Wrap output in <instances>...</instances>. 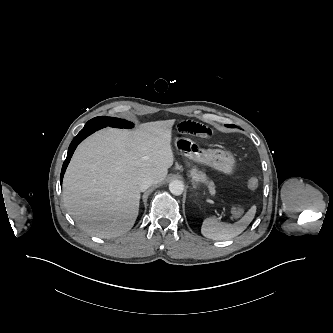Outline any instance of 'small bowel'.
I'll return each instance as SVG.
<instances>
[{"label": "small bowel", "mask_w": 333, "mask_h": 333, "mask_svg": "<svg viewBox=\"0 0 333 333\" xmlns=\"http://www.w3.org/2000/svg\"><path fill=\"white\" fill-rule=\"evenodd\" d=\"M176 129L181 134L192 135L200 138H208L212 135V129L193 120H183L176 124Z\"/></svg>", "instance_id": "obj_1"}]
</instances>
